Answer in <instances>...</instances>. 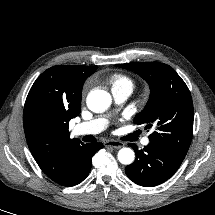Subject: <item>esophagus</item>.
<instances>
[{"label": "esophagus", "instance_id": "esophagus-1", "mask_svg": "<svg viewBox=\"0 0 215 215\" xmlns=\"http://www.w3.org/2000/svg\"><path fill=\"white\" fill-rule=\"evenodd\" d=\"M124 145L125 144L123 142L114 141V140H109V141L105 142V146L113 147L115 149H120V148L124 147Z\"/></svg>", "mask_w": 215, "mask_h": 215}]
</instances>
